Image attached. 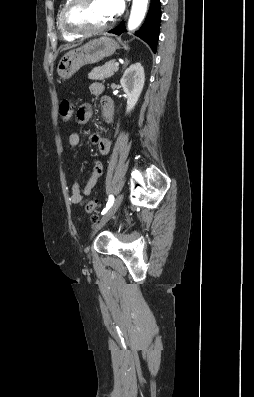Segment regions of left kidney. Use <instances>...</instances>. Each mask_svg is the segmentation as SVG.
Instances as JSON below:
<instances>
[{
	"label": "left kidney",
	"instance_id": "left-kidney-1",
	"mask_svg": "<svg viewBox=\"0 0 254 397\" xmlns=\"http://www.w3.org/2000/svg\"><path fill=\"white\" fill-rule=\"evenodd\" d=\"M144 82L145 74L141 63H134L124 71L120 83L127 96V112H130L136 105L142 92Z\"/></svg>",
	"mask_w": 254,
	"mask_h": 397
}]
</instances>
